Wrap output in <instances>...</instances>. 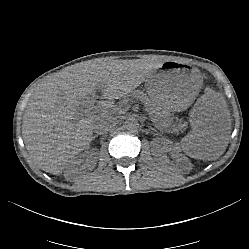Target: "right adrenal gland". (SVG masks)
<instances>
[{"label":"right adrenal gland","instance_id":"obj_1","mask_svg":"<svg viewBox=\"0 0 249 249\" xmlns=\"http://www.w3.org/2000/svg\"><path fill=\"white\" fill-rule=\"evenodd\" d=\"M100 134H103V133H96V134L92 137V141H95V140L98 138V136H99Z\"/></svg>","mask_w":249,"mask_h":249}]
</instances>
